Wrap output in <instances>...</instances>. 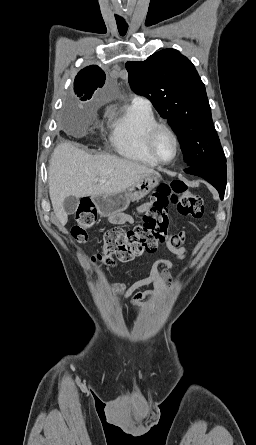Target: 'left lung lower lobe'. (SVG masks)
Listing matches in <instances>:
<instances>
[{"label":"left lung lower lobe","mask_w":256,"mask_h":445,"mask_svg":"<svg viewBox=\"0 0 256 445\" xmlns=\"http://www.w3.org/2000/svg\"><path fill=\"white\" fill-rule=\"evenodd\" d=\"M184 171L207 180L218 190L220 197L223 198L226 187V160L197 164L190 166Z\"/></svg>","instance_id":"1"}]
</instances>
